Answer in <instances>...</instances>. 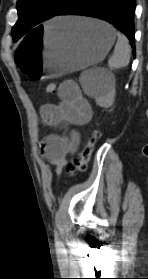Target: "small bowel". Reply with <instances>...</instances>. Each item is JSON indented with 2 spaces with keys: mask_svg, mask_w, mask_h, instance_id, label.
Listing matches in <instances>:
<instances>
[{
  "mask_svg": "<svg viewBox=\"0 0 148 279\" xmlns=\"http://www.w3.org/2000/svg\"><path fill=\"white\" fill-rule=\"evenodd\" d=\"M58 97V103L44 104L40 114L45 125H63L67 133L47 135L39 145L40 154L55 167L56 175L61 174L67 157L78 147L80 136L75 127L88 123L92 118V108L76 82H62Z\"/></svg>",
  "mask_w": 148,
  "mask_h": 279,
  "instance_id": "small-bowel-1",
  "label": "small bowel"
}]
</instances>
